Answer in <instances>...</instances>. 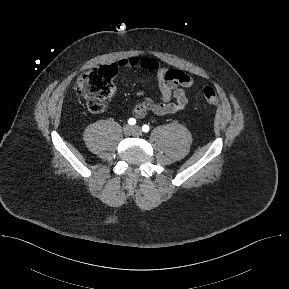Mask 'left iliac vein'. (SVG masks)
<instances>
[{
  "label": "left iliac vein",
  "mask_w": 289,
  "mask_h": 289,
  "mask_svg": "<svg viewBox=\"0 0 289 289\" xmlns=\"http://www.w3.org/2000/svg\"><path fill=\"white\" fill-rule=\"evenodd\" d=\"M133 134H134L135 136H141V135H142V131H141V129H140L139 126H134V127H133Z\"/></svg>",
  "instance_id": "left-iliac-vein-1"
}]
</instances>
